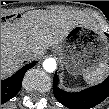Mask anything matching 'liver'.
<instances>
[{"mask_svg":"<svg viewBox=\"0 0 109 109\" xmlns=\"http://www.w3.org/2000/svg\"><path fill=\"white\" fill-rule=\"evenodd\" d=\"M99 26L88 15L75 10H34L24 13L15 23L1 27V76L16 72L25 61L24 51L33 59L42 56L49 47L61 43L76 26Z\"/></svg>","mask_w":109,"mask_h":109,"instance_id":"6515ba94","label":"liver"}]
</instances>
